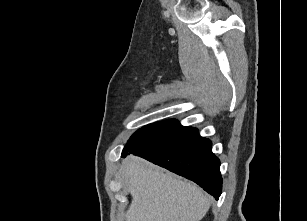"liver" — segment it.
<instances>
[{"label": "liver", "instance_id": "6515ba94", "mask_svg": "<svg viewBox=\"0 0 307 221\" xmlns=\"http://www.w3.org/2000/svg\"><path fill=\"white\" fill-rule=\"evenodd\" d=\"M123 165L132 196L125 221H201L208 212L210 198L197 185L135 156Z\"/></svg>", "mask_w": 307, "mask_h": 221}]
</instances>
